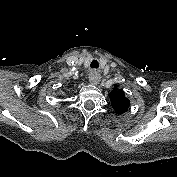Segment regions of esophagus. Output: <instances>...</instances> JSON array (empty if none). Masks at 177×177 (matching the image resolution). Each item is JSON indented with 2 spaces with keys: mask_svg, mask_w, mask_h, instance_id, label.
I'll list each match as a JSON object with an SVG mask.
<instances>
[{
  "mask_svg": "<svg viewBox=\"0 0 177 177\" xmlns=\"http://www.w3.org/2000/svg\"><path fill=\"white\" fill-rule=\"evenodd\" d=\"M88 78H89L90 83L94 85H97L101 79L100 74L98 73L96 69H93L90 71Z\"/></svg>",
  "mask_w": 177,
  "mask_h": 177,
  "instance_id": "1",
  "label": "esophagus"
}]
</instances>
